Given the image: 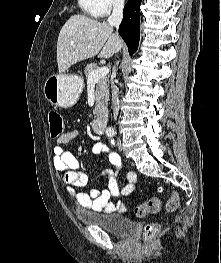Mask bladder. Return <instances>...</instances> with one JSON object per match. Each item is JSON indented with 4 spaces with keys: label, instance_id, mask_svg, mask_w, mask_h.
<instances>
[{
    "label": "bladder",
    "instance_id": "31cf9c89",
    "mask_svg": "<svg viewBox=\"0 0 221 263\" xmlns=\"http://www.w3.org/2000/svg\"><path fill=\"white\" fill-rule=\"evenodd\" d=\"M78 220L85 225L98 226L116 236H126L136 228V221L119 214H99L95 217L79 215Z\"/></svg>",
    "mask_w": 221,
    "mask_h": 263
}]
</instances>
